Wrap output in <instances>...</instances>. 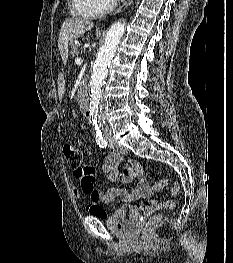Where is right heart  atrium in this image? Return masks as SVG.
Listing matches in <instances>:
<instances>
[{
  "instance_id": "1",
  "label": "right heart atrium",
  "mask_w": 233,
  "mask_h": 263,
  "mask_svg": "<svg viewBox=\"0 0 233 263\" xmlns=\"http://www.w3.org/2000/svg\"><path fill=\"white\" fill-rule=\"evenodd\" d=\"M99 13L107 12L114 6V0H93Z\"/></svg>"
}]
</instances>
